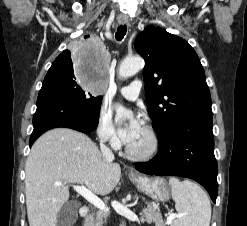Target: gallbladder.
<instances>
[{
    "instance_id": "1",
    "label": "gallbladder",
    "mask_w": 247,
    "mask_h": 226,
    "mask_svg": "<svg viewBox=\"0 0 247 226\" xmlns=\"http://www.w3.org/2000/svg\"><path fill=\"white\" fill-rule=\"evenodd\" d=\"M80 205L76 200L65 203L58 213L56 226H73L77 221Z\"/></svg>"
}]
</instances>
